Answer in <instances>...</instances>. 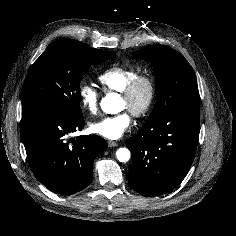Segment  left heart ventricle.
<instances>
[{"label": "left heart ventricle", "instance_id": "b2bd125f", "mask_svg": "<svg viewBox=\"0 0 236 236\" xmlns=\"http://www.w3.org/2000/svg\"><path fill=\"white\" fill-rule=\"evenodd\" d=\"M146 94H147L146 88L142 86L140 87V89L138 90V92L131 101H127L123 98H120L119 109L120 110L126 109L130 111L131 109L141 106L146 99Z\"/></svg>", "mask_w": 236, "mask_h": 236}]
</instances>
